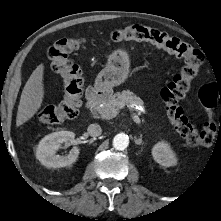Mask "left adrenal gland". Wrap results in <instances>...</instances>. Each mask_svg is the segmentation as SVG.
Here are the masks:
<instances>
[{
    "label": "left adrenal gland",
    "mask_w": 221,
    "mask_h": 221,
    "mask_svg": "<svg viewBox=\"0 0 221 221\" xmlns=\"http://www.w3.org/2000/svg\"><path fill=\"white\" fill-rule=\"evenodd\" d=\"M135 144L141 145L142 144V135H140V138H134Z\"/></svg>",
    "instance_id": "obj_1"
}]
</instances>
